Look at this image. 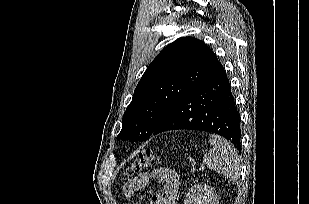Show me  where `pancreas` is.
Listing matches in <instances>:
<instances>
[{"label":"pancreas","instance_id":"pancreas-1","mask_svg":"<svg viewBox=\"0 0 309 204\" xmlns=\"http://www.w3.org/2000/svg\"><path fill=\"white\" fill-rule=\"evenodd\" d=\"M195 171V169H192V172H194Z\"/></svg>","mask_w":309,"mask_h":204}]
</instances>
